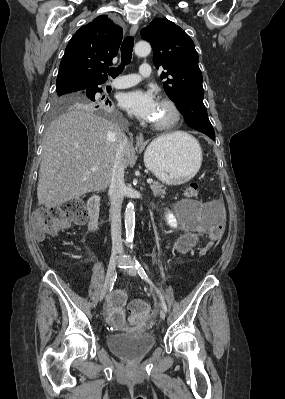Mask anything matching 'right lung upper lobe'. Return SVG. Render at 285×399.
I'll return each instance as SVG.
<instances>
[{"label":"right lung upper lobe","instance_id":"1","mask_svg":"<svg viewBox=\"0 0 285 399\" xmlns=\"http://www.w3.org/2000/svg\"><path fill=\"white\" fill-rule=\"evenodd\" d=\"M123 38L122 28L106 15L81 27L69 41L59 67L56 89H82L107 79Z\"/></svg>","mask_w":285,"mask_h":399}]
</instances>
